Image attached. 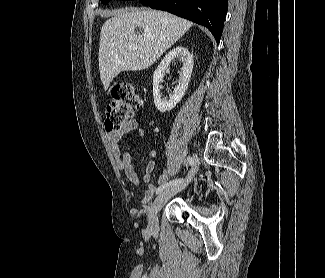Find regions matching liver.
<instances>
[{
  "instance_id": "1",
  "label": "liver",
  "mask_w": 325,
  "mask_h": 278,
  "mask_svg": "<svg viewBox=\"0 0 325 278\" xmlns=\"http://www.w3.org/2000/svg\"><path fill=\"white\" fill-rule=\"evenodd\" d=\"M105 15L110 18L102 26L99 47V71L105 91L119 73L149 68L192 26V22L168 12L145 8Z\"/></svg>"
}]
</instances>
